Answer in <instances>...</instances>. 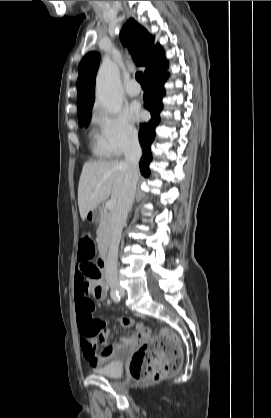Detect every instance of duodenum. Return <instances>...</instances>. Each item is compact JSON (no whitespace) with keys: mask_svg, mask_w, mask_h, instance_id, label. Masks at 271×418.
<instances>
[{"mask_svg":"<svg viewBox=\"0 0 271 418\" xmlns=\"http://www.w3.org/2000/svg\"><path fill=\"white\" fill-rule=\"evenodd\" d=\"M95 219L99 218V213L94 214ZM98 266L102 268V273L106 271L107 268V253L105 250L102 251L100 258L98 260Z\"/></svg>","mask_w":271,"mask_h":418,"instance_id":"410a0bca","label":"duodenum"}]
</instances>
